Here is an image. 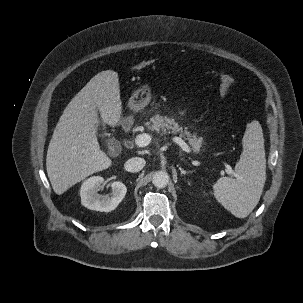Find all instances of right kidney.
<instances>
[{"mask_svg":"<svg viewBox=\"0 0 303 303\" xmlns=\"http://www.w3.org/2000/svg\"><path fill=\"white\" fill-rule=\"evenodd\" d=\"M104 183V179L100 176L90 177L83 182L80 188L81 203L90 210L100 212H110L114 210L124 199L127 188L119 181L111 183V195L99 196L98 190Z\"/></svg>","mask_w":303,"mask_h":303,"instance_id":"ca27d5eb","label":"right kidney"}]
</instances>
